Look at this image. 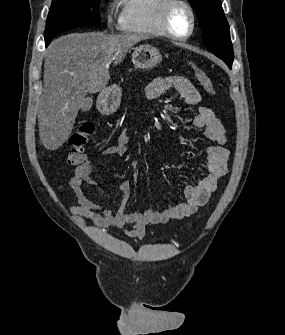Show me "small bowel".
<instances>
[{
  "instance_id": "small-bowel-1",
  "label": "small bowel",
  "mask_w": 285,
  "mask_h": 335,
  "mask_svg": "<svg viewBox=\"0 0 285 335\" xmlns=\"http://www.w3.org/2000/svg\"><path fill=\"white\" fill-rule=\"evenodd\" d=\"M170 89L176 90L188 105L197 106L193 125L204 129L206 138L213 143L207 149L205 176L197 184L186 187L185 201L182 203L162 211L147 210L142 213H129L124 207H120L117 211L101 209L89 200L84 187L86 184L94 185L95 181L92 178L93 166L90 162H86L78 166L70 182L71 189L78 200V204L71 208V213L79 222L84 223L85 219H88L103 229L122 228L129 225L126 230L127 236L142 239L146 229L152 225L193 215L199 207L207 203L210 196L216 191L219 180L226 175L230 156L229 150L224 147L226 142L224 126L212 109L199 105L200 94L185 77L156 78L148 86L147 95L150 99H157ZM128 140V132L125 130L113 145L103 150L102 154L113 158L124 157L127 153ZM190 156L193 158V155ZM129 192V182H121L119 184L121 198L127 197Z\"/></svg>"
}]
</instances>
